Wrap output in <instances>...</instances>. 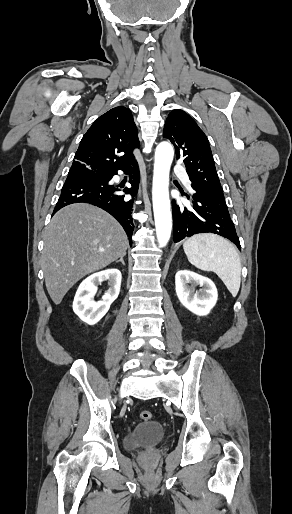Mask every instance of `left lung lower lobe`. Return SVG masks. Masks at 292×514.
I'll return each instance as SVG.
<instances>
[{
    "label": "left lung lower lobe",
    "mask_w": 292,
    "mask_h": 514,
    "mask_svg": "<svg viewBox=\"0 0 292 514\" xmlns=\"http://www.w3.org/2000/svg\"><path fill=\"white\" fill-rule=\"evenodd\" d=\"M191 204L172 202L174 242L197 233H215L231 240L241 249L224 196L205 195L196 190L189 196Z\"/></svg>",
    "instance_id": "0a47b994"
}]
</instances>
